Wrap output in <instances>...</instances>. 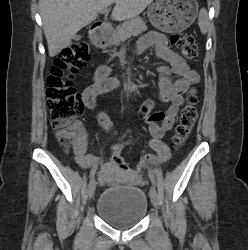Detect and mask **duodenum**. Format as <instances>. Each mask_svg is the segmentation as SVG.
Here are the masks:
<instances>
[{"instance_id":"obj_1","label":"duodenum","mask_w":248,"mask_h":250,"mask_svg":"<svg viewBox=\"0 0 248 250\" xmlns=\"http://www.w3.org/2000/svg\"><path fill=\"white\" fill-rule=\"evenodd\" d=\"M104 22H96L90 28V37L94 41L101 42L100 32L105 28Z\"/></svg>"}]
</instances>
